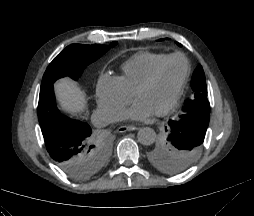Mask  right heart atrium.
Instances as JSON below:
<instances>
[{"mask_svg": "<svg viewBox=\"0 0 254 216\" xmlns=\"http://www.w3.org/2000/svg\"><path fill=\"white\" fill-rule=\"evenodd\" d=\"M96 97L99 109L107 115H118L132 100L117 77L103 75L96 87Z\"/></svg>", "mask_w": 254, "mask_h": 216, "instance_id": "right-heart-atrium-1", "label": "right heart atrium"}]
</instances>
